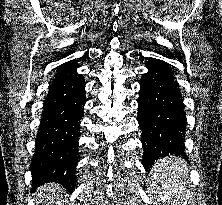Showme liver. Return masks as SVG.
I'll return each mask as SVG.
<instances>
[{
  "instance_id": "6515ba94",
  "label": "liver",
  "mask_w": 222,
  "mask_h": 205,
  "mask_svg": "<svg viewBox=\"0 0 222 205\" xmlns=\"http://www.w3.org/2000/svg\"><path fill=\"white\" fill-rule=\"evenodd\" d=\"M38 203L42 205H61L63 197L59 196L63 189L60 185L51 183L38 188Z\"/></svg>"
}]
</instances>
